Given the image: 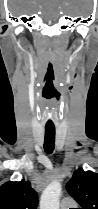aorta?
Here are the masks:
<instances>
[{
	"label": "aorta",
	"mask_w": 98,
	"mask_h": 209,
	"mask_svg": "<svg viewBox=\"0 0 98 209\" xmlns=\"http://www.w3.org/2000/svg\"><path fill=\"white\" fill-rule=\"evenodd\" d=\"M62 186L59 182L50 183L43 191L40 199V209H59Z\"/></svg>",
	"instance_id": "obj_1"
}]
</instances>
